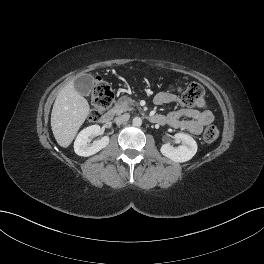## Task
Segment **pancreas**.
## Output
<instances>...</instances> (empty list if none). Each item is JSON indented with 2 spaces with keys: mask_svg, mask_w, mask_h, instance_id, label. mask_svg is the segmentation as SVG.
<instances>
[{
  "mask_svg": "<svg viewBox=\"0 0 264 264\" xmlns=\"http://www.w3.org/2000/svg\"><path fill=\"white\" fill-rule=\"evenodd\" d=\"M133 105H136L135 100H132L127 96H123L117 101L114 108L118 113H122L126 111H133Z\"/></svg>",
  "mask_w": 264,
  "mask_h": 264,
  "instance_id": "obj_1",
  "label": "pancreas"
}]
</instances>
